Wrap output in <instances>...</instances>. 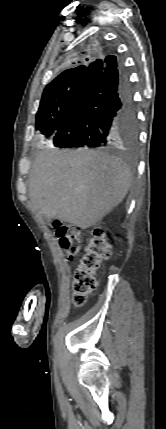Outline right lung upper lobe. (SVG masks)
<instances>
[{
  "label": "right lung upper lobe",
  "mask_w": 166,
  "mask_h": 429,
  "mask_svg": "<svg viewBox=\"0 0 166 429\" xmlns=\"http://www.w3.org/2000/svg\"><path fill=\"white\" fill-rule=\"evenodd\" d=\"M100 53L101 50L99 46H90L81 49L73 57V60L75 61L74 64L77 63L79 65L74 68H70L63 71L51 83H49L44 90L71 76L84 75L88 65L94 60H96Z\"/></svg>",
  "instance_id": "cb5924a9"
}]
</instances>
